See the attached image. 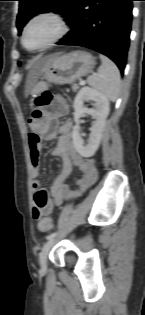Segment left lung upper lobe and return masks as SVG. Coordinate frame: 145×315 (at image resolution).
I'll return each mask as SVG.
<instances>
[{"instance_id": "left-lung-upper-lobe-1", "label": "left lung upper lobe", "mask_w": 145, "mask_h": 315, "mask_svg": "<svg viewBox=\"0 0 145 315\" xmlns=\"http://www.w3.org/2000/svg\"><path fill=\"white\" fill-rule=\"evenodd\" d=\"M19 1V13L17 15L16 26L19 34L22 28L34 15L38 13H44L53 11L57 14L64 15L68 21V18L73 10V7L77 0H18Z\"/></svg>"}]
</instances>
